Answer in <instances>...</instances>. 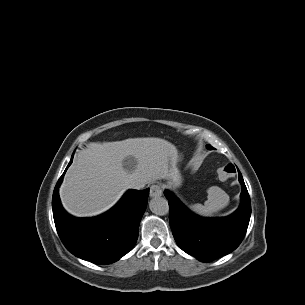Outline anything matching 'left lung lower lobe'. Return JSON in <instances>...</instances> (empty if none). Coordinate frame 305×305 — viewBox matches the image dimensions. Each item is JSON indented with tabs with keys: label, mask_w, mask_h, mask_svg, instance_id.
<instances>
[{
	"label": "left lung lower lobe",
	"mask_w": 305,
	"mask_h": 305,
	"mask_svg": "<svg viewBox=\"0 0 305 305\" xmlns=\"http://www.w3.org/2000/svg\"><path fill=\"white\" fill-rule=\"evenodd\" d=\"M242 184V203L238 210L225 218H202L189 211L172 193L169 199L170 226L178 246L202 262H210L235 250L243 240L251 215L250 197Z\"/></svg>",
	"instance_id": "1"
}]
</instances>
